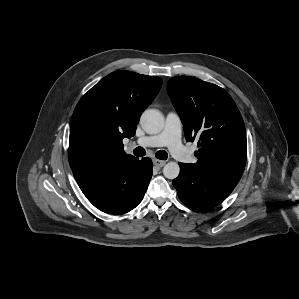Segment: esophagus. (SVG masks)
I'll return each mask as SVG.
<instances>
[{
  "label": "esophagus",
  "mask_w": 299,
  "mask_h": 299,
  "mask_svg": "<svg viewBox=\"0 0 299 299\" xmlns=\"http://www.w3.org/2000/svg\"><path fill=\"white\" fill-rule=\"evenodd\" d=\"M153 164L157 167H163L166 164V161L153 159Z\"/></svg>",
  "instance_id": "esophagus-1"
}]
</instances>
